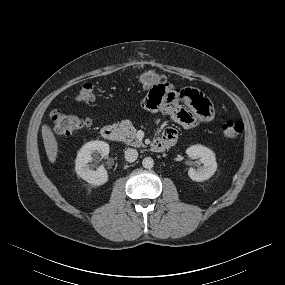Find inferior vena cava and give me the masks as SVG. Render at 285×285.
<instances>
[{
    "instance_id": "602c4592",
    "label": "inferior vena cava",
    "mask_w": 285,
    "mask_h": 285,
    "mask_svg": "<svg viewBox=\"0 0 285 285\" xmlns=\"http://www.w3.org/2000/svg\"><path fill=\"white\" fill-rule=\"evenodd\" d=\"M137 158H138V152H137V150L132 149V148H128V149L125 151V159H126V161L132 163V162L136 161Z\"/></svg>"
}]
</instances>
